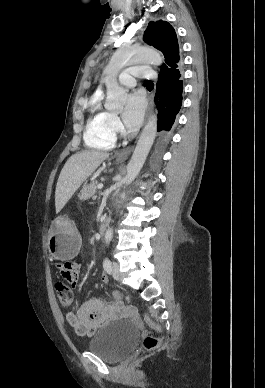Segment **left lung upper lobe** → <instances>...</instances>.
<instances>
[{
	"label": "left lung upper lobe",
	"mask_w": 265,
	"mask_h": 388,
	"mask_svg": "<svg viewBox=\"0 0 265 388\" xmlns=\"http://www.w3.org/2000/svg\"><path fill=\"white\" fill-rule=\"evenodd\" d=\"M143 39L164 54L166 64H163L160 72L182 64L177 36L174 28L168 22L162 20L149 22Z\"/></svg>",
	"instance_id": "obj_1"
}]
</instances>
